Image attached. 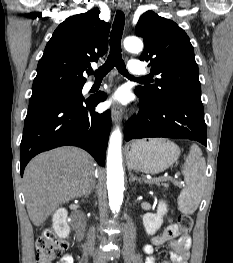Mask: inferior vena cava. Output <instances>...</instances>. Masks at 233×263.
Masks as SVG:
<instances>
[{
  "label": "inferior vena cava",
  "instance_id": "inferior-vena-cava-1",
  "mask_svg": "<svg viewBox=\"0 0 233 263\" xmlns=\"http://www.w3.org/2000/svg\"><path fill=\"white\" fill-rule=\"evenodd\" d=\"M94 263H105V260L102 258L101 255L95 254L94 255Z\"/></svg>",
  "mask_w": 233,
  "mask_h": 263
}]
</instances>
